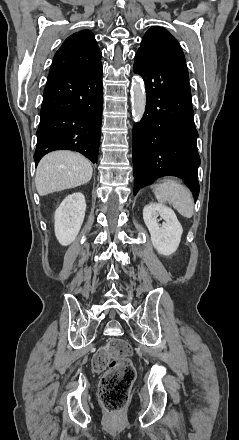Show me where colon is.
<instances>
[{"label": "colon", "instance_id": "obj_1", "mask_svg": "<svg viewBox=\"0 0 239 440\" xmlns=\"http://www.w3.org/2000/svg\"><path fill=\"white\" fill-rule=\"evenodd\" d=\"M131 347L122 339H114L100 349L94 359L93 368L102 372L99 397L104 408L119 412L127 404L136 370L131 359Z\"/></svg>", "mask_w": 239, "mask_h": 440}]
</instances>
